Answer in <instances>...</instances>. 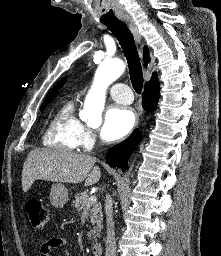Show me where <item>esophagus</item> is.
<instances>
[{
  "instance_id": "esophagus-1",
  "label": "esophagus",
  "mask_w": 221,
  "mask_h": 256,
  "mask_svg": "<svg viewBox=\"0 0 221 256\" xmlns=\"http://www.w3.org/2000/svg\"><path fill=\"white\" fill-rule=\"evenodd\" d=\"M122 21L128 26V28L130 29V31L132 32L135 41L139 44V45H143L142 43V38L140 36V33L134 23V21L129 17V16H124L122 17Z\"/></svg>"
}]
</instances>
